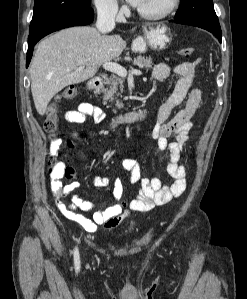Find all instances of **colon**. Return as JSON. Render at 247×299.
Segmentation results:
<instances>
[{"label":"colon","mask_w":247,"mask_h":299,"mask_svg":"<svg viewBox=\"0 0 247 299\" xmlns=\"http://www.w3.org/2000/svg\"><path fill=\"white\" fill-rule=\"evenodd\" d=\"M195 49L193 47H186L181 48L177 51L178 55L181 57H190L194 54ZM78 90L75 86H69L65 88L56 98L55 100L48 105L45 112V121L43 124L45 132L48 134L51 142V155L49 158V166H50V173L56 178H70L73 176L74 172L70 167L62 166L59 168L60 162L56 158V155L54 154V151L56 150V147L54 144L59 139L58 138V131H59V124L57 120V103L61 100H69L73 99L77 96ZM69 147H72V144L68 142L67 144Z\"/></svg>","instance_id":"colon-1"}]
</instances>
